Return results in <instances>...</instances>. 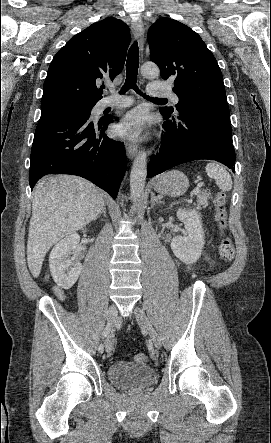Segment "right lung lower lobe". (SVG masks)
I'll use <instances>...</instances> for the list:
<instances>
[{"instance_id":"right-lung-lower-lobe-1","label":"right lung lower lobe","mask_w":271,"mask_h":443,"mask_svg":"<svg viewBox=\"0 0 271 443\" xmlns=\"http://www.w3.org/2000/svg\"><path fill=\"white\" fill-rule=\"evenodd\" d=\"M111 122L112 117L92 122L75 111L41 116L31 150L30 187L47 174H72L115 199L127 165L124 145L104 134Z\"/></svg>"}]
</instances>
